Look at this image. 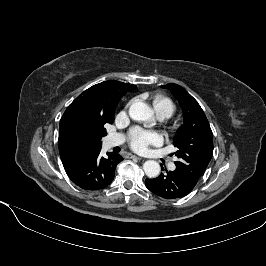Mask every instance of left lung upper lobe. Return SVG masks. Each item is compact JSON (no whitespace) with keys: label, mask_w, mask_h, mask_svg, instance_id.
Masks as SVG:
<instances>
[{"label":"left lung upper lobe","mask_w":266,"mask_h":266,"mask_svg":"<svg viewBox=\"0 0 266 266\" xmlns=\"http://www.w3.org/2000/svg\"><path fill=\"white\" fill-rule=\"evenodd\" d=\"M161 87L173 93L183 110L184 125L173 141L178 148L176 170L196 185L213 155L212 130L198 102L183 87L174 83Z\"/></svg>","instance_id":"obj_1"}]
</instances>
